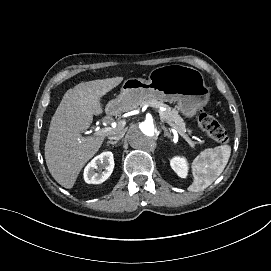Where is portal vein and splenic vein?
<instances>
[{"label":"portal vein and splenic vein","mask_w":271,"mask_h":271,"mask_svg":"<svg viewBox=\"0 0 271 271\" xmlns=\"http://www.w3.org/2000/svg\"><path fill=\"white\" fill-rule=\"evenodd\" d=\"M160 119L165 121V123H167L169 125V127L174 128L175 129L174 131H177L181 137L183 136L185 138V140L190 143L191 147H194V143L190 139H188V137L184 134V132L178 126H175L173 122H171L170 120H168L167 118H165L163 116H161ZM111 131H112L111 127H105V128H102V129H97L95 134L100 135V136H106Z\"/></svg>","instance_id":"18ae733b"}]
</instances>
